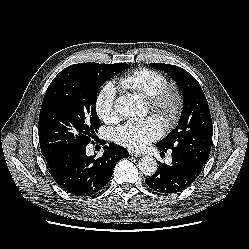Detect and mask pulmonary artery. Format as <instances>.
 Here are the masks:
<instances>
[{
	"label": "pulmonary artery",
	"mask_w": 249,
	"mask_h": 249,
	"mask_svg": "<svg viewBox=\"0 0 249 249\" xmlns=\"http://www.w3.org/2000/svg\"><path fill=\"white\" fill-rule=\"evenodd\" d=\"M170 162H171V159L169 158V159H168V163H170Z\"/></svg>",
	"instance_id": "pulmonary-artery-1"
}]
</instances>
